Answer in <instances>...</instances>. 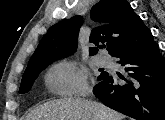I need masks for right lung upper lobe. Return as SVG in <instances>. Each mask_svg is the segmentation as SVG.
<instances>
[{
	"label": "right lung upper lobe",
	"mask_w": 165,
	"mask_h": 120,
	"mask_svg": "<svg viewBox=\"0 0 165 120\" xmlns=\"http://www.w3.org/2000/svg\"><path fill=\"white\" fill-rule=\"evenodd\" d=\"M90 20L94 25L90 42L97 46L89 48L90 55L98 52L99 43H107L109 54L115 56L150 32L126 0H100L91 8ZM81 24L82 17L74 16L51 26L28 65L72 55L77 48Z\"/></svg>",
	"instance_id": "1"
}]
</instances>
